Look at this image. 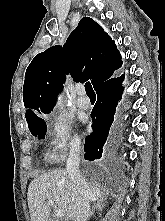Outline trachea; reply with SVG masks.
I'll return each mask as SVG.
<instances>
[{"mask_svg": "<svg viewBox=\"0 0 165 221\" xmlns=\"http://www.w3.org/2000/svg\"><path fill=\"white\" fill-rule=\"evenodd\" d=\"M85 90H86V93H87L88 96H94L95 95V92H94L90 82L85 83Z\"/></svg>", "mask_w": 165, "mask_h": 221, "instance_id": "obj_1", "label": "trachea"}]
</instances>
